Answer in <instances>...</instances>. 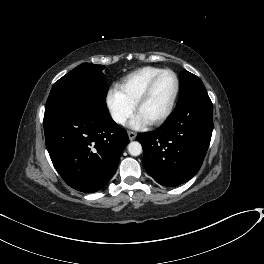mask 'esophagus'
Returning <instances> with one entry per match:
<instances>
[{"label": "esophagus", "instance_id": "34e87169", "mask_svg": "<svg viewBox=\"0 0 264 264\" xmlns=\"http://www.w3.org/2000/svg\"><path fill=\"white\" fill-rule=\"evenodd\" d=\"M137 136V133L136 132H133V131H128V137L129 139L132 141L136 138Z\"/></svg>", "mask_w": 264, "mask_h": 264}]
</instances>
